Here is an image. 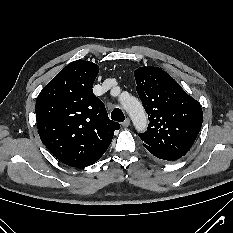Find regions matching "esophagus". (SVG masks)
I'll return each mask as SVG.
<instances>
[{"label": "esophagus", "mask_w": 233, "mask_h": 233, "mask_svg": "<svg viewBox=\"0 0 233 233\" xmlns=\"http://www.w3.org/2000/svg\"><path fill=\"white\" fill-rule=\"evenodd\" d=\"M130 125V119L126 118L123 122H122V126L124 128H127Z\"/></svg>", "instance_id": "esophagus-1"}]
</instances>
